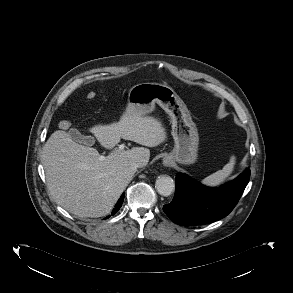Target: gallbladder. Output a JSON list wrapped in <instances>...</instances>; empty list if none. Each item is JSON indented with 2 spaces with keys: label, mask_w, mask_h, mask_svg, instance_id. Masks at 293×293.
<instances>
[{
  "label": "gallbladder",
  "mask_w": 293,
  "mask_h": 293,
  "mask_svg": "<svg viewBox=\"0 0 293 293\" xmlns=\"http://www.w3.org/2000/svg\"><path fill=\"white\" fill-rule=\"evenodd\" d=\"M69 135L73 140H75L79 143L86 144V145H92V143L94 141V137L84 136L77 129H71L69 131Z\"/></svg>",
  "instance_id": "obj_1"
}]
</instances>
